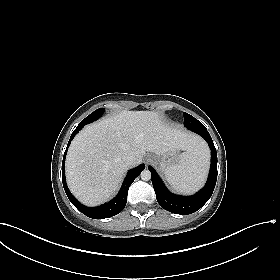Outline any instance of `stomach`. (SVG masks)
I'll use <instances>...</instances> for the list:
<instances>
[{"label": "stomach", "mask_w": 280, "mask_h": 280, "mask_svg": "<svg viewBox=\"0 0 280 280\" xmlns=\"http://www.w3.org/2000/svg\"><path fill=\"white\" fill-rule=\"evenodd\" d=\"M182 154H179V150H173L161 155L155 159V164L158 165L161 171L166 169L173 164L180 161Z\"/></svg>", "instance_id": "obj_1"}]
</instances>
